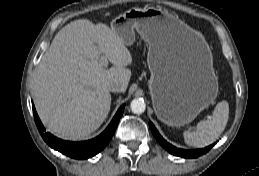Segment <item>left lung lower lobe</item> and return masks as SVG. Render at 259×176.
<instances>
[{
    "label": "left lung lower lobe",
    "mask_w": 259,
    "mask_h": 176,
    "mask_svg": "<svg viewBox=\"0 0 259 176\" xmlns=\"http://www.w3.org/2000/svg\"><path fill=\"white\" fill-rule=\"evenodd\" d=\"M149 126L151 128L152 134L154 135V137L156 138V140L171 154L176 155V156H181L184 158H196L199 157L205 153H207L214 144L206 147V148H202V149H197V150H183V149H179L176 148L174 146H172L171 144H169L168 142H166L162 136L158 133V131L156 130V128L154 127V125L150 122Z\"/></svg>",
    "instance_id": "0a47b994"
}]
</instances>
